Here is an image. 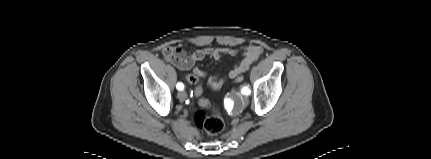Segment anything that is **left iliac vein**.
<instances>
[{
    "instance_id": "obj_1",
    "label": "left iliac vein",
    "mask_w": 431,
    "mask_h": 159,
    "mask_svg": "<svg viewBox=\"0 0 431 159\" xmlns=\"http://www.w3.org/2000/svg\"><path fill=\"white\" fill-rule=\"evenodd\" d=\"M242 102H243V104H245V105H246V104L248 103V98H247V97H244V98H243V100H242Z\"/></svg>"
}]
</instances>
